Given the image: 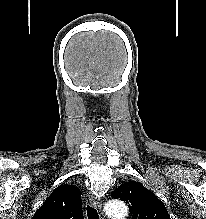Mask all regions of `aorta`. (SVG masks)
I'll return each mask as SVG.
<instances>
[{
  "label": "aorta",
  "instance_id": "762f6f07",
  "mask_svg": "<svg viewBox=\"0 0 206 219\" xmlns=\"http://www.w3.org/2000/svg\"><path fill=\"white\" fill-rule=\"evenodd\" d=\"M106 214L111 219H124L128 214V208L123 201L111 200L105 206Z\"/></svg>",
  "mask_w": 206,
  "mask_h": 219
}]
</instances>
